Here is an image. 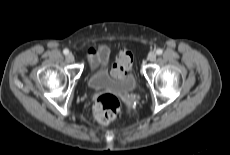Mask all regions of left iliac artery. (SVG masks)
<instances>
[{"label": "left iliac artery", "mask_w": 230, "mask_h": 155, "mask_svg": "<svg viewBox=\"0 0 230 155\" xmlns=\"http://www.w3.org/2000/svg\"><path fill=\"white\" fill-rule=\"evenodd\" d=\"M162 53H163V50H162V49H157V50H156V54L161 55Z\"/></svg>", "instance_id": "44dca946"}]
</instances>
